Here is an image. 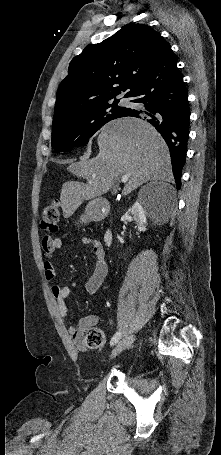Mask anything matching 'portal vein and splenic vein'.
Segmentation results:
<instances>
[{
	"label": "portal vein and splenic vein",
	"mask_w": 221,
	"mask_h": 455,
	"mask_svg": "<svg viewBox=\"0 0 221 455\" xmlns=\"http://www.w3.org/2000/svg\"><path fill=\"white\" fill-rule=\"evenodd\" d=\"M128 179H129V176H128V175H123V176L121 177V182L126 183V182L128 181Z\"/></svg>",
	"instance_id": "1"
}]
</instances>
